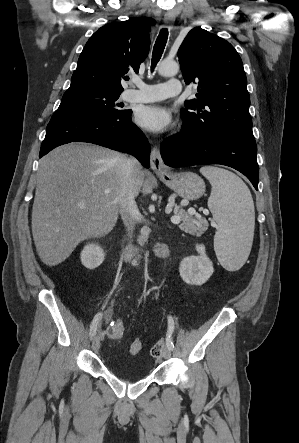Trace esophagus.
I'll use <instances>...</instances> for the list:
<instances>
[{
  "label": "esophagus",
  "instance_id": "34e87169",
  "mask_svg": "<svg viewBox=\"0 0 299 443\" xmlns=\"http://www.w3.org/2000/svg\"><path fill=\"white\" fill-rule=\"evenodd\" d=\"M175 20V14L171 11H168L164 16V23L167 27ZM151 168L155 173H164L167 171V167L165 166L163 159L160 154V150L157 146H154L151 151L150 156Z\"/></svg>",
  "mask_w": 299,
  "mask_h": 443
}]
</instances>
